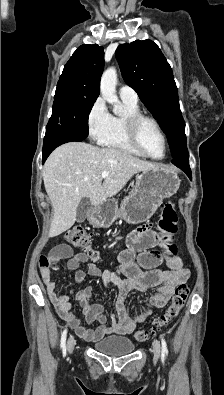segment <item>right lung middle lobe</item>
I'll use <instances>...</instances> for the list:
<instances>
[{"instance_id":"obj_1","label":"right lung middle lobe","mask_w":224,"mask_h":395,"mask_svg":"<svg viewBox=\"0 0 224 395\" xmlns=\"http://www.w3.org/2000/svg\"><path fill=\"white\" fill-rule=\"evenodd\" d=\"M99 94L57 84L52 116L47 129H62L85 139L88 136V118Z\"/></svg>"}]
</instances>
